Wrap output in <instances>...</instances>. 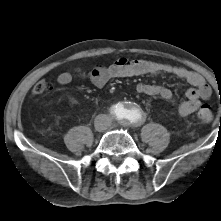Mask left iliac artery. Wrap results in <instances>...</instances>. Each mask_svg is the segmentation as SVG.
<instances>
[{"mask_svg":"<svg viewBox=\"0 0 221 221\" xmlns=\"http://www.w3.org/2000/svg\"><path fill=\"white\" fill-rule=\"evenodd\" d=\"M130 122L138 123L142 121V113L138 109L131 110L125 115Z\"/></svg>","mask_w":221,"mask_h":221,"instance_id":"1","label":"left iliac artery"}]
</instances>
